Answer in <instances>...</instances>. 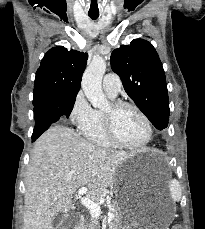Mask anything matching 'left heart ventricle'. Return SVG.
I'll return each mask as SVG.
<instances>
[{"instance_id": "1", "label": "left heart ventricle", "mask_w": 205, "mask_h": 229, "mask_svg": "<svg viewBox=\"0 0 205 229\" xmlns=\"http://www.w3.org/2000/svg\"><path fill=\"white\" fill-rule=\"evenodd\" d=\"M108 105L105 110H109ZM115 129L118 138L127 144H138L147 135L146 126L140 116L131 108H123L115 116Z\"/></svg>"}]
</instances>
